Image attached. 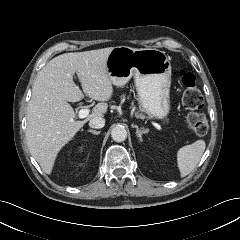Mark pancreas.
I'll return each mask as SVG.
<instances>
[{
	"label": "pancreas",
	"instance_id": "obj_1",
	"mask_svg": "<svg viewBox=\"0 0 240 240\" xmlns=\"http://www.w3.org/2000/svg\"><path fill=\"white\" fill-rule=\"evenodd\" d=\"M124 97V96H123ZM136 116L137 117H139V118H142V117H144V115L143 114H141V113H136Z\"/></svg>",
	"mask_w": 240,
	"mask_h": 240
}]
</instances>
